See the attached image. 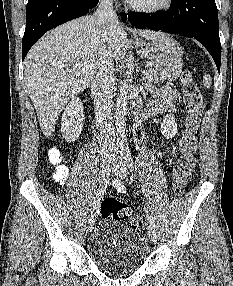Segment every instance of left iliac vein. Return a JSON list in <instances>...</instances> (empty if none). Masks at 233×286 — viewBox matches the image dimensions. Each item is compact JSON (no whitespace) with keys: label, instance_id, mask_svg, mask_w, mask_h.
<instances>
[{"label":"left iliac vein","instance_id":"4c4485c4","mask_svg":"<svg viewBox=\"0 0 233 286\" xmlns=\"http://www.w3.org/2000/svg\"><path fill=\"white\" fill-rule=\"evenodd\" d=\"M115 176L119 178H124L127 174V168L125 162L123 161L122 155H118L115 158V163L112 169ZM148 238L151 243H156L157 241V233L154 227H148Z\"/></svg>","mask_w":233,"mask_h":286}]
</instances>
